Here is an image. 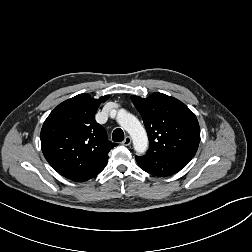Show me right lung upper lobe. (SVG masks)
Here are the masks:
<instances>
[{"label": "right lung upper lobe", "instance_id": "cb5924a9", "mask_svg": "<svg viewBox=\"0 0 252 252\" xmlns=\"http://www.w3.org/2000/svg\"><path fill=\"white\" fill-rule=\"evenodd\" d=\"M108 95L93 99L79 94L59 104L45 120L41 148L48 163L62 176L73 179L106 166L117 144L95 121V113Z\"/></svg>", "mask_w": 252, "mask_h": 252}]
</instances>
